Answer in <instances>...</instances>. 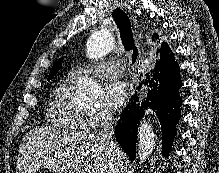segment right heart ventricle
<instances>
[{"instance_id": "1", "label": "right heart ventricle", "mask_w": 219, "mask_h": 173, "mask_svg": "<svg viewBox=\"0 0 219 173\" xmlns=\"http://www.w3.org/2000/svg\"><path fill=\"white\" fill-rule=\"evenodd\" d=\"M72 97L71 79L67 78L54 88L46 112L47 119L53 127L67 131L83 130L88 127L87 113L73 102Z\"/></svg>"}]
</instances>
